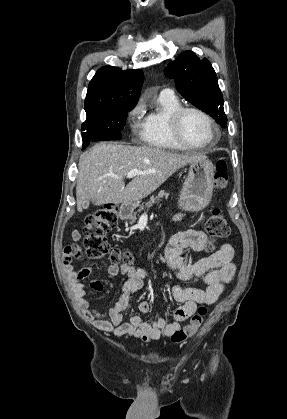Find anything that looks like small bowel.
<instances>
[{
	"label": "small bowel",
	"mask_w": 287,
	"mask_h": 419,
	"mask_svg": "<svg viewBox=\"0 0 287 419\" xmlns=\"http://www.w3.org/2000/svg\"><path fill=\"white\" fill-rule=\"evenodd\" d=\"M80 238L79 231H72L71 239L73 242L64 247L62 256V263L69 276L74 295L87 320L98 329L118 337L130 336L142 341L170 337L193 315L198 304H213L222 293L224 285L230 282L235 274V265L232 262L234 250L229 243L221 244L213 254L198 263L184 266L181 259L183 250L191 248L195 251H202L206 247L208 239L205 233L200 230L188 229L178 232L171 237L166 247L167 265L175 271L181 280L202 278L206 288L173 287V298L182 304L174 312L173 321L168 322L159 318L147 323L139 315H132L129 321L125 322L123 317L125 311L129 308L131 296L141 289L148 271L143 268H135L126 262L121 265L114 262L110 263L108 273L111 276L122 274L127 279L118 294L116 304L107 312H100L90 306L82 283V280L92 274V267L85 266L78 270L73 268L74 260L82 257L81 249L77 244ZM89 286L95 291H100L103 288L102 282L98 279L91 280ZM138 309L140 312L147 313L150 305L143 301L139 304Z\"/></svg>",
	"instance_id": "1"
}]
</instances>
